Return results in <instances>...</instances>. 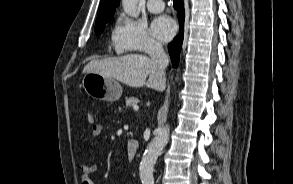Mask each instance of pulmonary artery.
<instances>
[{
    "instance_id": "obj_1",
    "label": "pulmonary artery",
    "mask_w": 293,
    "mask_h": 184,
    "mask_svg": "<svg viewBox=\"0 0 293 184\" xmlns=\"http://www.w3.org/2000/svg\"><path fill=\"white\" fill-rule=\"evenodd\" d=\"M147 9L151 13H160L164 10V3L162 0H148Z\"/></svg>"
}]
</instances>
